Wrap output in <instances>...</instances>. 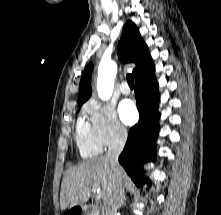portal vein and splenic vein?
<instances>
[{"label":"portal vein and splenic vein","instance_id":"portal-vein-and-splenic-vein-1","mask_svg":"<svg viewBox=\"0 0 221 215\" xmlns=\"http://www.w3.org/2000/svg\"><path fill=\"white\" fill-rule=\"evenodd\" d=\"M98 192H100V189H96Z\"/></svg>","mask_w":221,"mask_h":215}]
</instances>
